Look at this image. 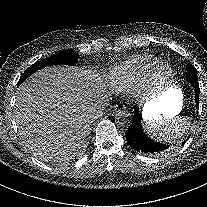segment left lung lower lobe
Instances as JSON below:
<instances>
[{"label":"left lung lower lobe","mask_w":207,"mask_h":207,"mask_svg":"<svg viewBox=\"0 0 207 207\" xmlns=\"http://www.w3.org/2000/svg\"><path fill=\"white\" fill-rule=\"evenodd\" d=\"M193 88L195 89V102L198 108L199 104V85L198 77L189 80ZM142 116L139 114L138 107L134 108L133 121L129 129L127 130L125 136L128 144L138 152H143L146 154L160 153L167 149L169 145L162 144L151 140L142 130L141 127Z\"/></svg>","instance_id":"obj_1"}]
</instances>
